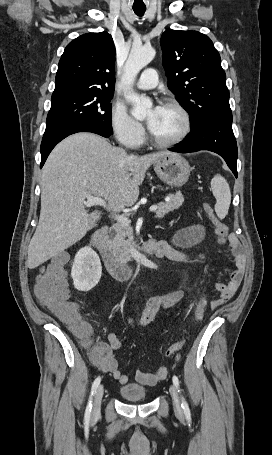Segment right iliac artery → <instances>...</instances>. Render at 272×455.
<instances>
[{
	"instance_id": "obj_1",
	"label": "right iliac artery",
	"mask_w": 272,
	"mask_h": 455,
	"mask_svg": "<svg viewBox=\"0 0 272 455\" xmlns=\"http://www.w3.org/2000/svg\"><path fill=\"white\" fill-rule=\"evenodd\" d=\"M100 381H101V378L99 376L93 382L92 389H91V394H90L89 401H88V404H87V407H86V411H85V420L86 421H89V419H90L91 409H92V399H93L94 394L96 393V390H97V388H98V386L100 384Z\"/></svg>"
}]
</instances>
